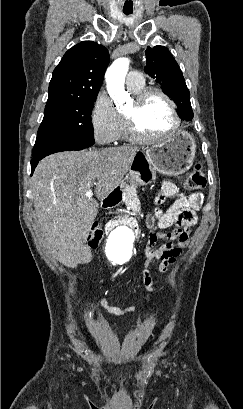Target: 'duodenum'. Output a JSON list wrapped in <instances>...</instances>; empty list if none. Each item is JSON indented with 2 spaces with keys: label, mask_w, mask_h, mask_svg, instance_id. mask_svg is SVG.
I'll list each match as a JSON object with an SVG mask.
<instances>
[{
  "label": "duodenum",
  "mask_w": 243,
  "mask_h": 409,
  "mask_svg": "<svg viewBox=\"0 0 243 409\" xmlns=\"http://www.w3.org/2000/svg\"><path fill=\"white\" fill-rule=\"evenodd\" d=\"M121 200V193L118 189L113 190L110 194H108L104 200L102 201V207L105 209L112 208L116 206ZM118 224H123L129 226L131 229L136 230L137 224L132 219H124L116 222L109 223L107 225V230H111Z\"/></svg>",
  "instance_id": "duodenum-1"
}]
</instances>
